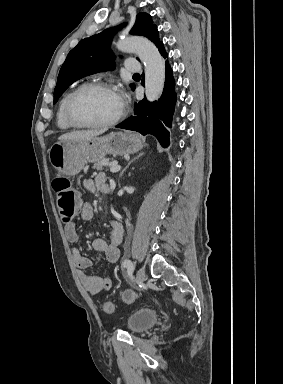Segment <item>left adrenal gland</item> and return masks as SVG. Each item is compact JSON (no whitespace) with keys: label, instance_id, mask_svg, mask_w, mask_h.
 <instances>
[{"label":"left adrenal gland","instance_id":"a2214340","mask_svg":"<svg viewBox=\"0 0 283 384\" xmlns=\"http://www.w3.org/2000/svg\"><path fill=\"white\" fill-rule=\"evenodd\" d=\"M140 156H143V154H139V156H136V158H134V160H130L129 164H127L126 168H124V170H122L119 178H122L124 172H126L127 168H129L130 164H132V162H135V160H138V158H140Z\"/></svg>","mask_w":283,"mask_h":384}]
</instances>
